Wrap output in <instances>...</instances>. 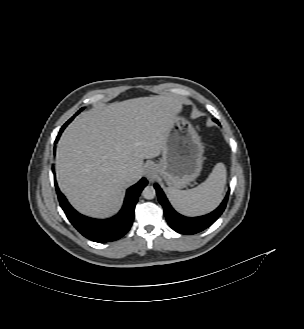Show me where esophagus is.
<instances>
[{"instance_id": "esophagus-1", "label": "esophagus", "mask_w": 304, "mask_h": 329, "mask_svg": "<svg viewBox=\"0 0 304 329\" xmlns=\"http://www.w3.org/2000/svg\"><path fill=\"white\" fill-rule=\"evenodd\" d=\"M146 174V177L149 179V180H153L156 176V172L153 168V166H149L145 172Z\"/></svg>"}]
</instances>
